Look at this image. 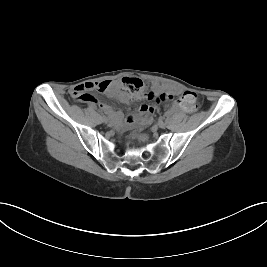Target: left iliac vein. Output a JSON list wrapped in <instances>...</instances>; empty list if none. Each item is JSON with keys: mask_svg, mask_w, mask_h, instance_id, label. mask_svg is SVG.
<instances>
[{"mask_svg": "<svg viewBox=\"0 0 267 267\" xmlns=\"http://www.w3.org/2000/svg\"><path fill=\"white\" fill-rule=\"evenodd\" d=\"M158 127L164 129L166 127V124L163 121H159Z\"/></svg>", "mask_w": 267, "mask_h": 267, "instance_id": "left-iliac-vein-1", "label": "left iliac vein"}]
</instances>
